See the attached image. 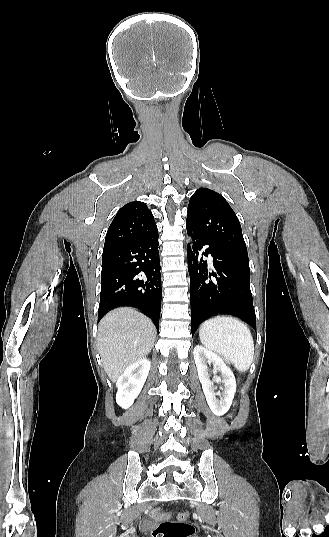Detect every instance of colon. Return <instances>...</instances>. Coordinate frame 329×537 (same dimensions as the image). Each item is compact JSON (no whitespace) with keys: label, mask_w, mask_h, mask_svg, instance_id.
I'll return each instance as SVG.
<instances>
[{"label":"colon","mask_w":329,"mask_h":537,"mask_svg":"<svg viewBox=\"0 0 329 537\" xmlns=\"http://www.w3.org/2000/svg\"><path fill=\"white\" fill-rule=\"evenodd\" d=\"M151 516L155 520H162L154 529L153 537H192L195 534L188 511L179 512L176 521H172L170 511L164 509L153 510Z\"/></svg>","instance_id":"obj_1"}]
</instances>
